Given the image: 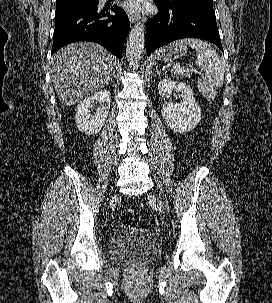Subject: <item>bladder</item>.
I'll return each instance as SVG.
<instances>
[{
    "label": "bladder",
    "mask_w": 272,
    "mask_h": 303,
    "mask_svg": "<svg viewBox=\"0 0 272 303\" xmlns=\"http://www.w3.org/2000/svg\"><path fill=\"white\" fill-rule=\"evenodd\" d=\"M108 256L120 263L152 262L161 254V245L157 236L140 227L123 230L112 237L107 245Z\"/></svg>",
    "instance_id": "1"
}]
</instances>
